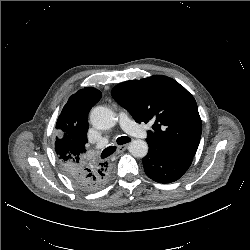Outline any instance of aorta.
Segmentation results:
<instances>
[{
    "label": "aorta",
    "instance_id": "1",
    "mask_svg": "<svg viewBox=\"0 0 250 250\" xmlns=\"http://www.w3.org/2000/svg\"><path fill=\"white\" fill-rule=\"evenodd\" d=\"M92 125L100 130H108L113 128L118 121L116 113L105 106H97L92 109L90 114ZM129 152L138 158H143L148 153V144L144 140L136 139L131 141Z\"/></svg>",
    "mask_w": 250,
    "mask_h": 250
}]
</instances>
